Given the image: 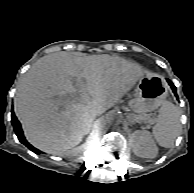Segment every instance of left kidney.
<instances>
[{
  "label": "left kidney",
  "instance_id": "5707ae66",
  "mask_svg": "<svg viewBox=\"0 0 194 193\" xmlns=\"http://www.w3.org/2000/svg\"><path fill=\"white\" fill-rule=\"evenodd\" d=\"M132 147L134 154L142 158H155L158 154V147L151 133L146 130H137L133 133Z\"/></svg>",
  "mask_w": 194,
  "mask_h": 193
}]
</instances>
